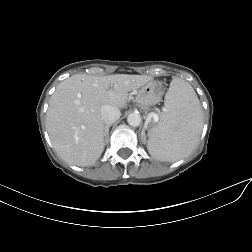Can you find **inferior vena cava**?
Returning <instances> with one entry per match:
<instances>
[{"label": "inferior vena cava", "mask_w": 252, "mask_h": 252, "mask_svg": "<svg viewBox=\"0 0 252 252\" xmlns=\"http://www.w3.org/2000/svg\"><path fill=\"white\" fill-rule=\"evenodd\" d=\"M121 116L120 110L111 105L101 106V117L105 124L116 122Z\"/></svg>", "instance_id": "602c4592"}]
</instances>
